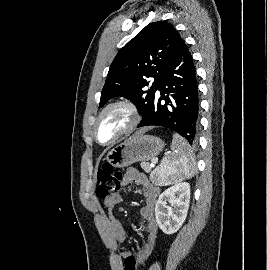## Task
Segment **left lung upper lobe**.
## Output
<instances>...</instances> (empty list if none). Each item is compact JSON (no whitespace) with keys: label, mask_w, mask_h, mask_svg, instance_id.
Wrapping results in <instances>:
<instances>
[{"label":"left lung upper lobe","mask_w":267,"mask_h":270,"mask_svg":"<svg viewBox=\"0 0 267 270\" xmlns=\"http://www.w3.org/2000/svg\"><path fill=\"white\" fill-rule=\"evenodd\" d=\"M181 41L179 33L166 21L153 22L143 28L113 60L99 107L115 96H122L131 100L144 116ZM149 77L154 81L148 82ZM148 85L150 89L144 90Z\"/></svg>","instance_id":"5c2ea615"}]
</instances>
